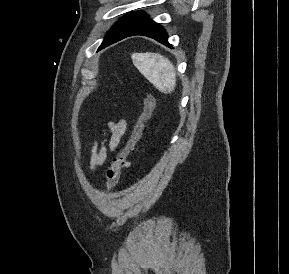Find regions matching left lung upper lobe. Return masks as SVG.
<instances>
[{"label":"left lung upper lobe","mask_w":289,"mask_h":274,"mask_svg":"<svg viewBox=\"0 0 289 274\" xmlns=\"http://www.w3.org/2000/svg\"><path fill=\"white\" fill-rule=\"evenodd\" d=\"M147 19L148 15L143 12L128 13L127 15L123 16L119 22L115 23V25L109 30L101 46L120 39L133 31Z\"/></svg>","instance_id":"1"}]
</instances>
